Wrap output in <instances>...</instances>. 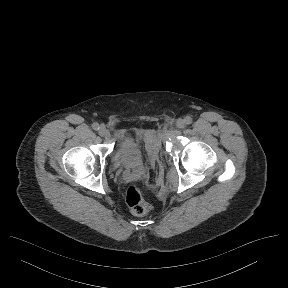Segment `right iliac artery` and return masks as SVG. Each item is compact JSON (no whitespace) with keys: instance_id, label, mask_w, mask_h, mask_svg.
Instances as JSON below:
<instances>
[{"instance_id":"82829eb1","label":"right iliac artery","mask_w":288,"mask_h":288,"mask_svg":"<svg viewBox=\"0 0 288 288\" xmlns=\"http://www.w3.org/2000/svg\"><path fill=\"white\" fill-rule=\"evenodd\" d=\"M92 128H93L94 130H98V129H99V124H98L97 122L93 123V124H92Z\"/></svg>"}]
</instances>
